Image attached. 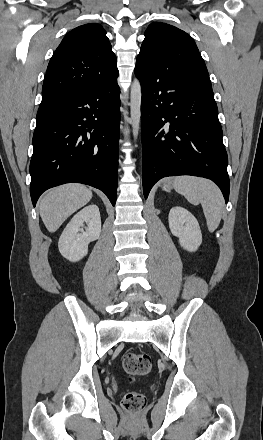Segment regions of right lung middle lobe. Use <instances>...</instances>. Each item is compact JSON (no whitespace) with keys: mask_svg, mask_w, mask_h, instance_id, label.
I'll return each mask as SVG.
<instances>
[{"mask_svg":"<svg viewBox=\"0 0 263 440\" xmlns=\"http://www.w3.org/2000/svg\"><path fill=\"white\" fill-rule=\"evenodd\" d=\"M41 111H42V109H41V107H39V109H38V113L41 112Z\"/></svg>","mask_w":263,"mask_h":440,"instance_id":"obj_1","label":"right lung middle lobe"}]
</instances>
